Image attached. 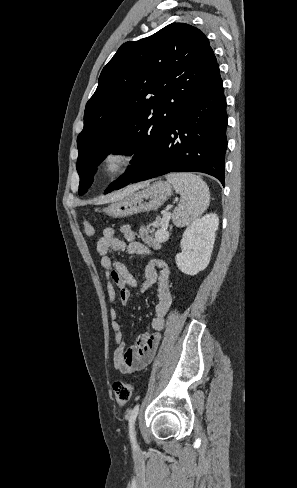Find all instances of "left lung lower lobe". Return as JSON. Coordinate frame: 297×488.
Returning a JSON list of instances; mask_svg holds the SVG:
<instances>
[{
  "mask_svg": "<svg viewBox=\"0 0 297 488\" xmlns=\"http://www.w3.org/2000/svg\"><path fill=\"white\" fill-rule=\"evenodd\" d=\"M227 123L226 98L219 77L182 113L151 159L126 185L169 172L193 171L212 175L224 186Z\"/></svg>",
  "mask_w": 297,
  "mask_h": 488,
  "instance_id": "left-lung-lower-lobe-1",
  "label": "left lung lower lobe"
}]
</instances>
